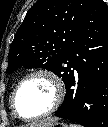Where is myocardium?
Listing matches in <instances>:
<instances>
[{"label":"myocardium","instance_id":"f54148a6","mask_svg":"<svg viewBox=\"0 0 108 127\" xmlns=\"http://www.w3.org/2000/svg\"><path fill=\"white\" fill-rule=\"evenodd\" d=\"M35 77H44L52 84L53 90H54V99H53V103L50 106V108L48 110H46L45 112H43L39 115H36V116L25 117V116H22L17 110L16 102H15L16 96H17L20 88L23 86V84H25L28 80L35 78ZM63 99H64V85H63L62 80L54 72H52L50 70L37 69V70H34V71L26 74L17 83V85L15 86L13 93L11 95V108H12L13 113L18 118H20L24 121H34V120L44 118V117L54 113L60 107Z\"/></svg>","mask_w":108,"mask_h":127}]
</instances>
